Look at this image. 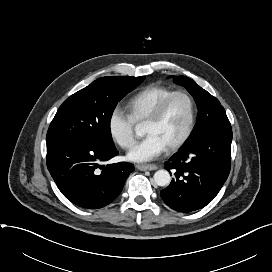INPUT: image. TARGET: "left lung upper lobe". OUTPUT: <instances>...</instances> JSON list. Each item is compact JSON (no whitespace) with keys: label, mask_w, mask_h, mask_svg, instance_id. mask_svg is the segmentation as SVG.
<instances>
[{"label":"left lung upper lobe","mask_w":272,"mask_h":272,"mask_svg":"<svg viewBox=\"0 0 272 272\" xmlns=\"http://www.w3.org/2000/svg\"><path fill=\"white\" fill-rule=\"evenodd\" d=\"M173 81L188 90L198 107L197 123L185 145L210 133L231 130L225 110L217 98L188 77L178 76Z\"/></svg>","instance_id":"1"}]
</instances>
